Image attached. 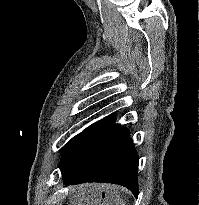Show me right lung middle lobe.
<instances>
[{"label": "right lung middle lobe", "mask_w": 199, "mask_h": 205, "mask_svg": "<svg viewBox=\"0 0 199 205\" xmlns=\"http://www.w3.org/2000/svg\"><path fill=\"white\" fill-rule=\"evenodd\" d=\"M116 118H106L90 125L72 138L65 146L60 161L61 172L93 148L104 143L120 127L114 124Z\"/></svg>", "instance_id": "1"}]
</instances>
